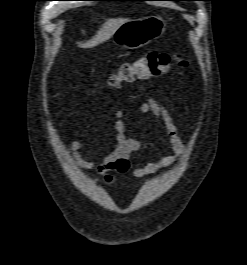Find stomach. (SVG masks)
<instances>
[{
  "label": "stomach",
  "instance_id": "obj_1",
  "mask_svg": "<svg viewBox=\"0 0 247 265\" xmlns=\"http://www.w3.org/2000/svg\"><path fill=\"white\" fill-rule=\"evenodd\" d=\"M166 29L160 16H147L122 24L113 36L114 44L126 49H138L159 38Z\"/></svg>",
  "mask_w": 247,
  "mask_h": 265
}]
</instances>
